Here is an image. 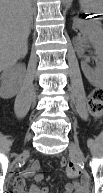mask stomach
Segmentation results:
<instances>
[{"label": "stomach", "mask_w": 103, "mask_h": 193, "mask_svg": "<svg viewBox=\"0 0 103 193\" xmlns=\"http://www.w3.org/2000/svg\"><path fill=\"white\" fill-rule=\"evenodd\" d=\"M84 12L98 13L102 10L103 0H79Z\"/></svg>", "instance_id": "1"}]
</instances>
